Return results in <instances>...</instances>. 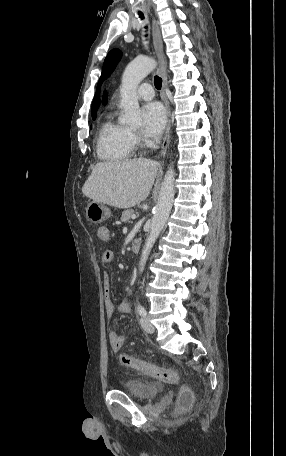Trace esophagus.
I'll use <instances>...</instances> for the list:
<instances>
[{
	"instance_id": "34e87169",
	"label": "esophagus",
	"mask_w": 286,
	"mask_h": 456,
	"mask_svg": "<svg viewBox=\"0 0 286 456\" xmlns=\"http://www.w3.org/2000/svg\"><path fill=\"white\" fill-rule=\"evenodd\" d=\"M152 36H153V45L154 50L159 62L158 73L162 78V100L165 104L166 112H167V124L165 130V136L161 145V155L165 156L167 148L170 143V129H171V109L166 97L165 89L167 85V72H166V61L163 53V44L161 39V32L158 25V22L153 18L152 20Z\"/></svg>"
}]
</instances>
